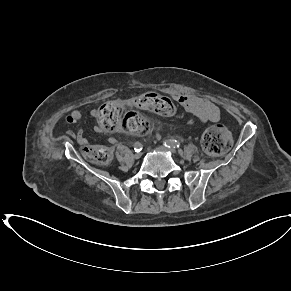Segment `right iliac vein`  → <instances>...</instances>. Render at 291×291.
Returning <instances> with one entry per match:
<instances>
[{
    "instance_id": "63e3f726",
    "label": "right iliac vein",
    "mask_w": 291,
    "mask_h": 291,
    "mask_svg": "<svg viewBox=\"0 0 291 291\" xmlns=\"http://www.w3.org/2000/svg\"><path fill=\"white\" fill-rule=\"evenodd\" d=\"M141 157V153H135L134 154V158L137 160Z\"/></svg>"
}]
</instances>
